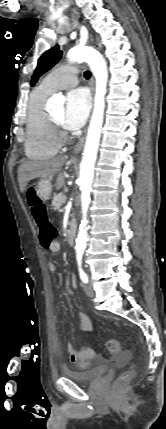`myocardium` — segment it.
<instances>
[{
  "label": "myocardium",
  "mask_w": 166,
  "mask_h": 429,
  "mask_svg": "<svg viewBox=\"0 0 166 429\" xmlns=\"http://www.w3.org/2000/svg\"><path fill=\"white\" fill-rule=\"evenodd\" d=\"M48 120H49L50 126L52 128V133H53L55 140L58 143L65 142L67 140L68 136H67V133L61 127V124L58 123L57 121H55L50 114H48Z\"/></svg>",
  "instance_id": "f54148a6"
}]
</instances>
